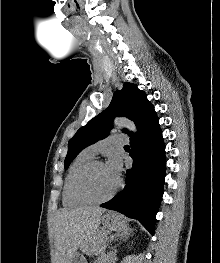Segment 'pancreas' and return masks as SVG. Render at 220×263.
Wrapping results in <instances>:
<instances>
[{
  "mask_svg": "<svg viewBox=\"0 0 220 263\" xmlns=\"http://www.w3.org/2000/svg\"><path fill=\"white\" fill-rule=\"evenodd\" d=\"M106 236L107 232L105 230H98L83 243L82 249L88 253L99 250L104 245Z\"/></svg>",
  "mask_w": 220,
  "mask_h": 263,
  "instance_id": "cf45deb5",
  "label": "pancreas"
}]
</instances>
